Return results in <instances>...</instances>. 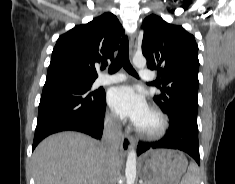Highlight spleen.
Instances as JSON below:
<instances>
[{
	"label": "spleen",
	"instance_id": "obj_1",
	"mask_svg": "<svg viewBox=\"0 0 235 184\" xmlns=\"http://www.w3.org/2000/svg\"><path fill=\"white\" fill-rule=\"evenodd\" d=\"M198 172L197 164H193V162H191L188 172L185 174L184 178H182L180 184H200Z\"/></svg>",
	"mask_w": 235,
	"mask_h": 184
}]
</instances>
